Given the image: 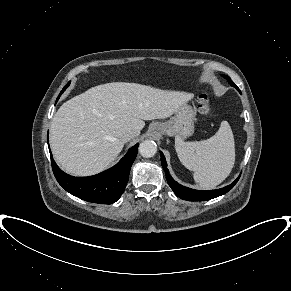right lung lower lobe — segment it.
Instances as JSON below:
<instances>
[{
  "instance_id": "right-lung-lower-lobe-1",
  "label": "right lung lower lobe",
  "mask_w": 291,
  "mask_h": 291,
  "mask_svg": "<svg viewBox=\"0 0 291 291\" xmlns=\"http://www.w3.org/2000/svg\"><path fill=\"white\" fill-rule=\"evenodd\" d=\"M138 144L114 167L90 177H73L64 173L55 163L51 151L52 169L58 183L72 195L91 203L111 204L125 190L131 166L137 156Z\"/></svg>"
}]
</instances>
